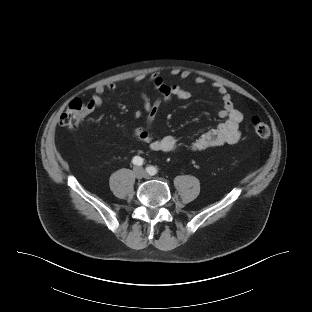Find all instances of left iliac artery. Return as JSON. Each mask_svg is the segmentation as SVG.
Returning <instances> with one entry per match:
<instances>
[{"label":"left iliac artery","mask_w":312,"mask_h":312,"mask_svg":"<svg viewBox=\"0 0 312 312\" xmlns=\"http://www.w3.org/2000/svg\"><path fill=\"white\" fill-rule=\"evenodd\" d=\"M146 170H147L148 174H150V175H155L157 172V169L153 166L147 167Z\"/></svg>","instance_id":"1"}]
</instances>
